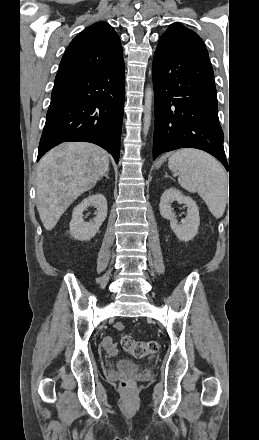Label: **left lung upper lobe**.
Listing matches in <instances>:
<instances>
[{
  "instance_id": "obj_1",
  "label": "left lung upper lobe",
  "mask_w": 259,
  "mask_h": 440,
  "mask_svg": "<svg viewBox=\"0 0 259 440\" xmlns=\"http://www.w3.org/2000/svg\"><path fill=\"white\" fill-rule=\"evenodd\" d=\"M160 40L167 41L171 44L185 47L196 48L207 53V49L202 39L192 30L186 28L181 23H173L167 31L161 36Z\"/></svg>"
}]
</instances>
